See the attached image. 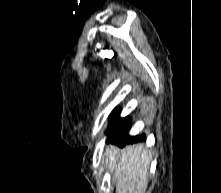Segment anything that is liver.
<instances>
[{
  "instance_id": "obj_1",
  "label": "liver",
  "mask_w": 221,
  "mask_h": 193,
  "mask_svg": "<svg viewBox=\"0 0 221 193\" xmlns=\"http://www.w3.org/2000/svg\"><path fill=\"white\" fill-rule=\"evenodd\" d=\"M104 158L112 173L116 193H145L148 185L150 151L143 143L130 145L121 153L115 146L107 148Z\"/></svg>"
}]
</instances>
